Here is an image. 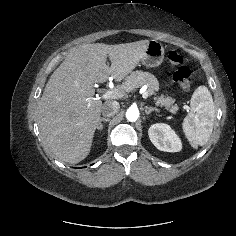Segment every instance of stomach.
<instances>
[{
    "mask_svg": "<svg viewBox=\"0 0 236 236\" xmlns=\"http://www.w3.org/2000/svg\"><path fill=\"white\" fill-rule=\"evenodd\" d=\"M164 53L163 45L156 40H151L146 47L141 62L147 67H158L163 62Z\"/></svg>",
    "mask_w": 236,
    "mask_h": 236,
    "instance_id": "obj_1",
    "label": "stomach"
}]
</instances>
